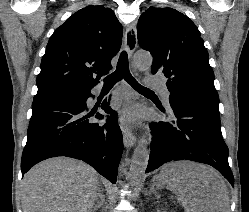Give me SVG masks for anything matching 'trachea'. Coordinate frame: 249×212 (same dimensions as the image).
Instances as JSON below:
<instances>
[{
    "mask_svg": "<svg viewBox=\"0 0 249 212\" xmlns=\"http://www.w3.org/2000/svg\"><path fill=\"white\" fill-rule=\"evenodd\" d=\"M123 78L135 90H149L150 91L149 88L143 87V85H140V83H138L135 80V78L132 77L131 73L129 72V68H128V57H127L126 51L121 53L115 72L111 73V75H108V77L104 79L103 88H112L116 82H119V80H122Z\"/></svg>",
    "mask_w": 249,
    "mask_h": 212,
    "instance_id": "3493384b",
    "label": "trachea"
}]
</instances>
